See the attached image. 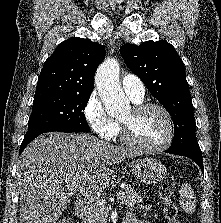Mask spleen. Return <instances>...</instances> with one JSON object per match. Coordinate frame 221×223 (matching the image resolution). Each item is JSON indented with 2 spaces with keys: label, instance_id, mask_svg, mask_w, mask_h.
<instances>
[{
  "label": "spleen",
  "instance_id": "1",
  "mask_svg": "<svg viewBox=\"0 0 221 223\" xmlns=\"http://www.w3.org/2000/svg\"><path fill=\"white\" fill-rule=\"evenodd\" d=\"M180 205L188 214H193L196 208V197L193 188L188 183L182 184L180 188Z\"/></svg>",
  "mask_w": 221,
  "mask_h": 223
}]
</instances>
